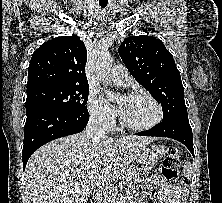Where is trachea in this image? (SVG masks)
I'll list each match as a JSON object with an SVG mask.
<instances>
[{
    "instance_id": "1",
    "label": "trachea",
    "mask_w": 222,
    "mask_h": 203,
    "mask_svg": "<svg viewBox=\"0 0 222 203\" xmlns=\"http://www.w3.org/2000/svg\"><path fill=\"white\" fill-rule=\"evenodd\" d=\"M100 6H101L102 8H105V7L107 6V4H100Z\"/></svg>"
}]
</instances>
